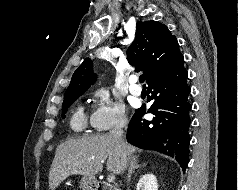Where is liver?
I'll use <instances>...</instances> for the list:
<instances>
[{
	"label": "liver",
	"instance_id": "6515ba94",
	"mask_svg": "<svg viewBox=\"0 0 238 190\" xmlns=\"http://www.w3.org/2000/svg\"><path fill=\"white\" fill-rule=\"evenodd\" d=\"M135 151V147L124 141L127 162ZM105 160L108 171L117 175L123 172L121 151L111 135L66 140L56 149L49 172V189L54 190L71 175L95 177L102 171Z\"/></svg>",
	"mask_w": 238,
	"mask_h": 190
}]
</instances>
